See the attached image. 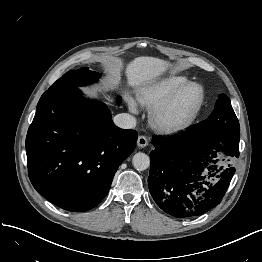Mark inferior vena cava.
Instances as JSON below:
<instances>
[{"mask_svg": "<svg viewBox=\"0 0 262 262\" xmlns=\"http://www.w3.org/2000/svg\"><path fill=\"white\" fill-rule=\"evenodd\" d=\"M116 126L122 129H131L136 126V119L128 113H121L113 118Z\"/></svg>", "mask_w": 262, "mask_h": 262, "instance_id": "inferior-vena-cava-1", "label": "inferior vena cava"}]
</instances>
